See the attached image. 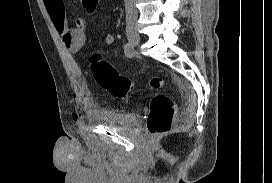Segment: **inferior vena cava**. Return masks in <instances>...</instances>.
I'll return each instance as SVG.
<instances>
[{
	"label": "inferior vena cava",
	"mask_w": 272,
	"mask_h": 183,
	"mask_svg": "<svg viewBox=\"0 0 272 183\" xmlns=\"http://www.w3.org/2000/svg\"><path fill=\"white\" fill-rule=\"evenodd\" d=\"M126 11V30L130 31L137 26V10L135 6V0H124Z\"/></svg>",
	"instance_id": "inferior-vena-cava-1"
}]
</instances>
